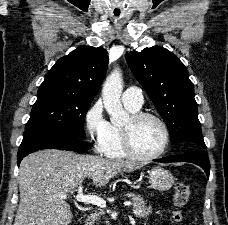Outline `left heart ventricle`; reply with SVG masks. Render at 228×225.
Instances as JSON below:
<instances>
[{
    "mask_svg": "<svg viewBox=\"0 0 228 225\" xmlns=\"http://www.w3.org/2000/svg\"><path fill=\"white\" fill-rule=\"evenodd\" d=\"M130 119L126 125H129ZM137 149L145 155L159 152L164 144V130L159 122L148 118L133 127Z\"/></svg>",
    "mask_w": 228,
    "mask_h": 225,
    "instance_id": "obj_1",
    "label": "left heart ventricle"
}]
</instances>
